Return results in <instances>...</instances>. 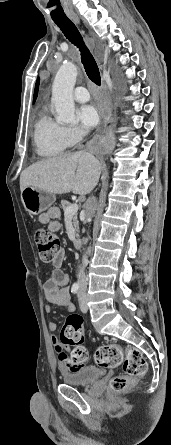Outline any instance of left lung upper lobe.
Returning a JSON list of instances; mask_svg holds the SVG:
<instances>
[{"label": "left lung upper lobe", "instance_id": "obj_1", "mask_svg": "<svg viewBox=\"0 0 171 445\" xmlns=\"http://www.w3.org/2000/svg\"><path fill=\"white\" fill-rule=\"evenodd\" d=\"M38 88H39V78L37 79V82H36L33 102H35V100H36V98H37Z\"/></svg>", "mask_w": 171, "mask_h": 445}]
</instances>
